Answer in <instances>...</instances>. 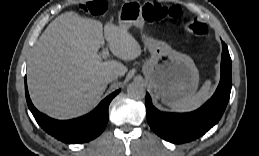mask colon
<instances>
[{
    "label": "colon",
    "mask_w": 259,
    "mask_h": 156,
    "mask_svg": "<svg viewBox=\"0 0 259 156\" xmlns=\"http://www.w3.org/2000/svg\"><path fill=\"white\" fill-rule=\"evenodd\" d=\"M81 10L92 16L104 15L108 10V3L106 0H94L87 2L81 6ZM161 12L156 5H147L145 8V17L148 21H156L161 18ZM186 29L188 32L197 37H203L208 33L207 25L200 21H193L187 24Z\"/></svg>",
    "instance_id": "5ec220e1"
}]
</instances>
